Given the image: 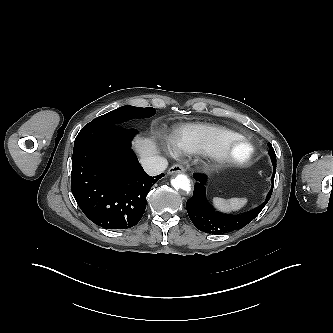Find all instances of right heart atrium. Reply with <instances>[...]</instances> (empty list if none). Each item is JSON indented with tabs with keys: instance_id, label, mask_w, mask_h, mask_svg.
Instances as JSON below:
<instances>
[{
	"instance_id": "1",
	"label": "right heart atrium",
	"mask_w": 333,
	"mask_h": 333,
	"mask_svg": "<svg viewBox=\"0 0 333 333\" xmlns=\"http://www.w3.org/2000/svg\"><path fill=\"white\" fill-rule=\"evenodd\" d=\"M166 150H167V152H171V147L169 146V145H166Z\"/></svg>"
}]
</instances>
